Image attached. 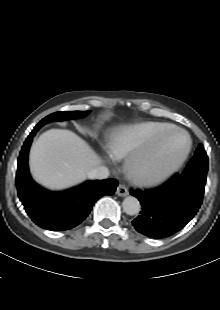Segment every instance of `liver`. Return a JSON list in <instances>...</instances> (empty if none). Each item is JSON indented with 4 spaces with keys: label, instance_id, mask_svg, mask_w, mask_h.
Returning a JSON list of instances; mask_svg holds the SVG:
<instances>
[{
    "label": "liver",
    "instance_id": "obj_1",
    "mask_svg": "<svg viewBox=\"0 0 220 310\" xmlns=\"http://www.w3.org/2000/svg\"><path fill=\"white\" fill-rule=\"evenodd\" d=\"M29 163L38 183L60 190L84 181L88 172L101 164V159L74 132L51 129L33 144Z\"/></svg>",
    "mask_w": 220,
    "mask_h": 310
}]
</instances>
